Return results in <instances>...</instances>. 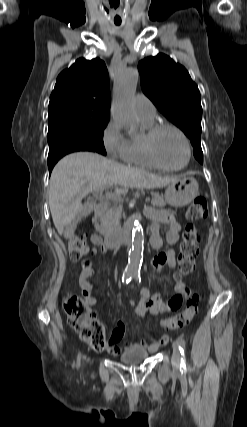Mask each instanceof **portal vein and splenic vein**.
Wrapping results in <instances>:
<instances>
[{"instance_id":"1","label":"portal vein and splenic vein","mask_w":247,"mask_h":427,"mask_svg":"<svg viewBox=\"0 0 247 427\" xmlns=\"http://www.w3.org/2000/svg\"><path fill=\"white\" fill-rule=\"evenodd\" d=\"M103 189L104 188H100L97 192H102ZM120 193L121 192H118V191H116L115 193L107 192L106 193V197L109 198V199H111V200H114V201H121V194ZM145 201L149 202L150 201V197H146Z\"/></svg>"}]
</instances>
